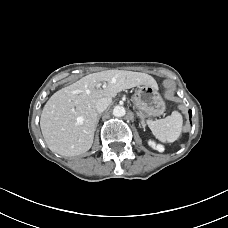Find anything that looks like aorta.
Wrapping results in <instances>:
<instances>
[{
	"instance_id": "aorta-1",
	"label": "aorta",
	"mask_w": 228,
	"mask_h": 228,
	"mask_svg": "<svg viewBox=\"0 0 228 228\" xmlns=\"http://www.w3.org/2000/svg\"><path fill=\"white\" fill-rule=\"evenodd\" d=\"M126 114V110L123 106H115L113 109V115L115 117H122Z\"/></svg>"
}]
</instances>
